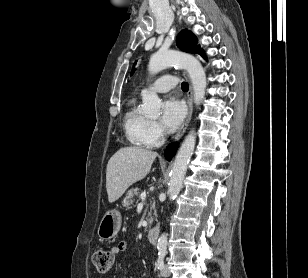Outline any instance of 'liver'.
<instances>
[{
  "mask_svg": "<svg viewBox=\"0 0 308 278\" xmlns=\"http://www.w3.org/2000/svg\"><path fill=\"white\" fill-rule=\"evenodd\" d=\"M157 153L139 147L120 148L108 161L106 190L108 201H117L132 184L150 171Z\"/></svg>",
  "mask_w": 308,
  "mask_h": 278,
  "instance_id": "obj_1",
  "label": "liver"
}]
</instances>
